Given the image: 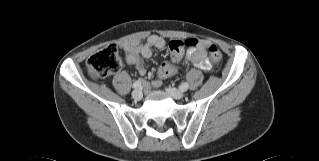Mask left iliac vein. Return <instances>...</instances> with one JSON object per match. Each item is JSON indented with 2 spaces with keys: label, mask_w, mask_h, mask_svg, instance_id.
<instances>
[{
  "label": "left iliac vein",
  "mask_w": 319,
  "mask_h": 161,
  "mask_svg": "<svg viewBox=\"0 0 319 161\" xmlns=\"http://www.w3.org/2000/svg\"><path fill=\"white\" fill-rule=\"evenodd\" d=\"M167 92L174 98V99H181L184 96L183 91H180L175 88H167Z\"/></svg>",
  "instance_id": "left-iliac-vein-1"
}]
</instances>
